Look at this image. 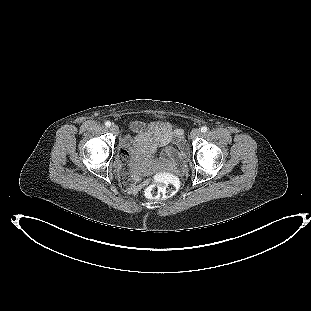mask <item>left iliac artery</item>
I'll return each mask as SVG.
<instances>
[{
  "mask_svg": "<svg viewBox=\"0 0 311 311\" xmlns=\"http://www.w3.org/2000/svg\"><path fill=\"white\" fill-rule=\"evenodd\" d=\"M207 130H208L207 126H202V127H201V132H202V133L207 132Z\"/></svg>",
  "mask_w": 311,
  "mask_h": 311,
  "instance_id": "obj_1",
  "label": "left iliac artery"
}]
</instances>
